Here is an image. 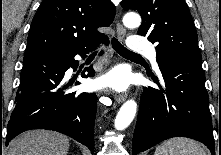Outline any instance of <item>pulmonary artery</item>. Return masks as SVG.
<instances>
[{"instance_id": "obj_1", "label": "pulmonary artery", "mask_w": 221, "mask_h": 155, "mask_svg": "<svg viewBox=\"0 0 221 155\" xmlns=\"http://www.w3.org/2000/svg\"><path fill=\"white\" fill-rule=\"evenodd\" d=\"M129 47L135 53L145 54L153 64L154 68L158 70L156 51L147 40L140 36H132L129 41Z\"/></svg>"}]
</instances>
